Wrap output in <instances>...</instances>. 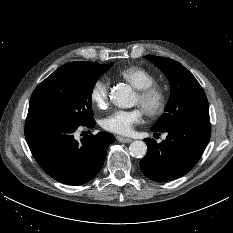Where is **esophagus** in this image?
<instances>
[{"label": "esophagus", "instance_id": "obj_1", "mask_svg": "<svg viewBox=\"0 0 233 233\" xmlns=\"http://www.w3.org/2000/svg\"><path fill=\"white\" fill-rule=\"evenodd\" d=\"M116 138H117V140L119 142H122V143H130V142H132L131 138L122 137V136H117Z\"/></svg>", "mask_w": 233, "mask_h": 233}]
</instances>
